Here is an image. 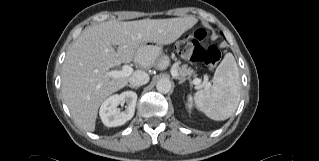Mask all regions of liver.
Here are the masks:
<instances>
[{"label": "liver", "instance_id": "1", "mask_svg": "<svg viewBox=\"0 0 319 161\" xmlns=\"http://www.w3.org/2000/svg\"><path fill=\"white\" fill-rule=\"evenodd\" d=\"M196 23L194 17L112 20L85 28L67 51L61 75L62 95L76 124L93 132L101 103L127 85L128 77L106 76L110 68L136 60L144 43L175 42ZM113 46H118L117 51ZM139 64L148 68L152 63Z\"/></svg>", "mask_w": 319, "mask_h": 161}]
</instances>
